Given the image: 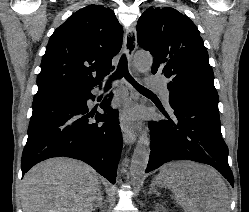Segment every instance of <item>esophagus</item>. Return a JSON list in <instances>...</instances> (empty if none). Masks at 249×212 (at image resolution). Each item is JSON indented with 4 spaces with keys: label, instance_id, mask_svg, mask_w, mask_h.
<instances>
[{
    "label": "esophagus",
    "instance_id": "34e87169",
    "mask_svg": "<svg viewBox=\"0 0 249 212\" xmlns=\"http://www.w3.org/2000/svg\"><path fill=\"white\" fill-rule=\"evenodd\" d=\"M137 49V33L135 25L131 26L126 30L124 42H123V51L126 54L129 65H131V60L135 50ZM121 89H122V104L124 108V112L121 115V131L123 133L124 141L128 145H132L135 143L137 134L135 130V126L126 120V110L133 103L134 92L132 86L127 83L125 80L121 81Z\"/></svg>",
    "mask_w": 249,
    "mask_h": 212
}]
</instances>
